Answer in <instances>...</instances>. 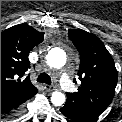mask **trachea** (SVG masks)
<instances>
[{"mask_svg":"<svg viewBox=\"0 0 122 122\" xmlns=\"http://www.w3.org/2000/svg\"><path fill=\"white\" fill-rule=\"evenodd\" d=\"M37 82L51 85V78L47 73H41L37 78Z\"/></svg>","mask_w":122,"mask_h":122,"instance_id":"obj_1","label":"trachea"}]
</instances>
